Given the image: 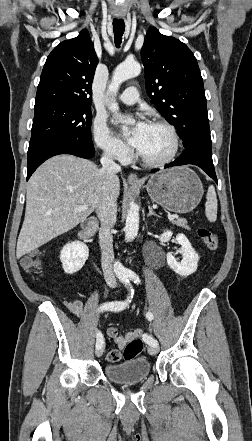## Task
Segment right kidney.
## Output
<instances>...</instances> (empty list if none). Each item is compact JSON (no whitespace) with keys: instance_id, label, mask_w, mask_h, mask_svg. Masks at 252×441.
<instances>
[{"instance_id":"right-kidney-1","label":"right kidney","mask_w":252,"mask_h":441,"mask_svg":"<svg viewBox=\"0 0 252 441\" xmlns=\"http://www.w3.org/2000/svg\"><path fill=\"white\" fill-rule=\"evenodd\" d=\"M89 256V249L86 244L74 241L66 244L60 253L62 267L66 274H74L85 264Z\"/></svg>"}]
</instances>
